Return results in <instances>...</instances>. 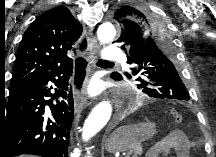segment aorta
I'll return each instance as SVG.
<instances>
[{"instance_id":"1","label":"aorta","mask_w":216,"mask_h":157,"mask_svg":"<svg viewBox=\"0 0 216 157\" xmlns=\"http://www.w3.org/2000/svg\"><path fill=\"white\" fill-rule=\"evenodd\" d=\"M98 39L103 44H108L116 36V29L112 23L106 22L99 26ZM112 115V105L109 101L99 103L90 113L82 128V138L88 141L108 123Z\"/></svg>"}]
</instances>
